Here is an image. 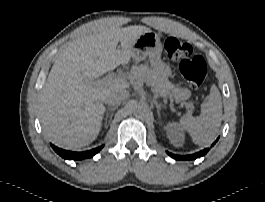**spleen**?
<instances>
[{"mask_svg":"<svg viewBox=\"0 0 265 202\" xmlns=\"http://www.w3.org/2000/svg\"><path fill=\"white\" fill-rule=\"evenodd\" d=\"M222 120V100L216 86L211 87L208 101L201 105V115L193 117L183 115L180 126L191 136L193 142L200 146L209 144L218 132Z\"/></svg>","mask_w":265,"mask_h":202,"instance_id":"3e777b00","label":"spleen"}]
</instances>
